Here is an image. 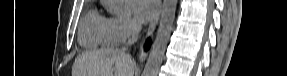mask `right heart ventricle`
Returning a JSON list of instances; mask_svg holds the SVG:
<instances>
[{"instance_id":"e07e8e85","label":"right heart ventricle","mask_w":287,"mask_h":76,"mask_svg":"<svg viewBox=\"0 0 287 76\" xmlns=\"http://www.w3.org/2000/svg\"><path fill=\"white\" fill-rule=\"evenodd\" d=\"M79 41L87 48L108 46L114 42L109 32V19L96 10H90L81 22Z\"/></svg>"}]
</instances>
